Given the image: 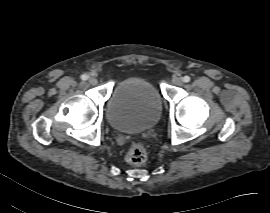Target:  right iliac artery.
Segmentation results:
<instances>
[{"label": "right iliac artery", "instance_id": "obj_1", "mask_svg": "<svg viewBox=\"0 0 270 213\" xmlns=\"http://www.w3.org/2000/svg\"><path fill=\"white\" fill-rule=\"evenodd\" d=\"M81 79L86 81L88 79V76L86 74L81 75Z\"/></svg>", "mask_w": 270, "mask_h": 213}]
</instances>
